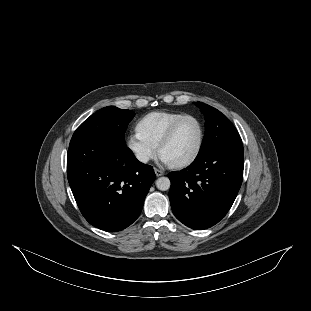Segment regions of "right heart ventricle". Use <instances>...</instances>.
<instances>
[{
	"label": "right heart ventricle",
	"mask_w": 311,
	"mask_h": 311,
	"mask_svg": "<svg viewBox=\"0 0 311 311\" xmlns=\"http://www.w3.org/2000/svg\"><path fill=\"white\" fill-rule=\"evenodd\" d=\"M185 113L153 111L145 114L135 124L138 137L153 148H157L170 127Z\"/></svg>",
	"instance_id": "1"
}]
</instances>
